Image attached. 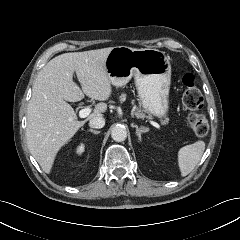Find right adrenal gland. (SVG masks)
Masks as SVG:
<instances>
[{"mask_svg": "<svg viewBox=\"0 0 240 240\" xmlns=\"http://www.w3.org/2000/svg\"><path fill=\"white\" fill-rule=\"evenodd\" d=\"M88 131L93 133V134H99L100 133V131H96V130H93V129H89Z\"/></svg>", "mask_w": 240, "mask_h": 240, "instance_id": "obj_1", "label": "right adrenal gland"}]
</instances>
